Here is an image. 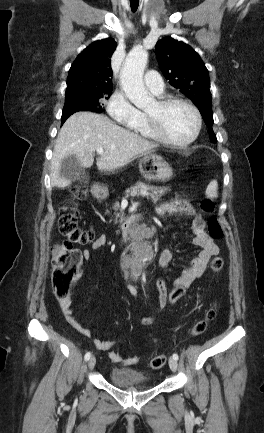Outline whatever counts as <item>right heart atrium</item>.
<instances>
[{"mask_svg": "<svg viewBox=\"0 0 264 433\" xmlns=\"http://www.w3.org/2000/svg\"><path fill=\"white\" fill-rule=\"evenodd\" d=\"M106 111L117 123L131 126L140 118V111L121 91H115L106 101Z\"/></svg>", "mask_w": 264, "mask_h": 433, "instance_id": "d8ad5b80", "label": "right heart atrium"}]
</instances>
